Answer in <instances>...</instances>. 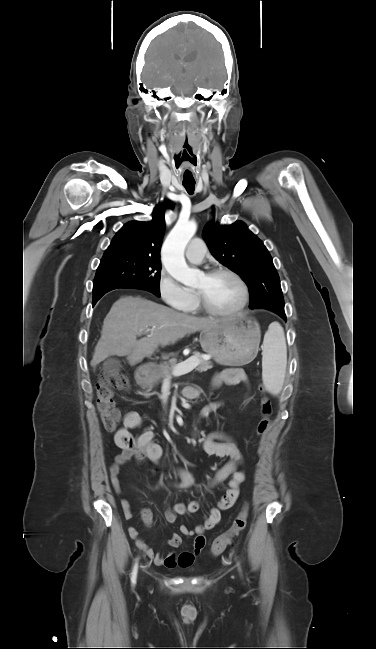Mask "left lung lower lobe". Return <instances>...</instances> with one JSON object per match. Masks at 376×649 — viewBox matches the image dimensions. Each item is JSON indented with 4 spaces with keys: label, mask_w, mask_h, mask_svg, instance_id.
I'll return each mask as SVG.
<instances>
[{
    "label": "left lung lower lobe",
    "mask_w": 376,
    "mask_h": 649,
    "mask_svg": "<svg viewBox=\"0 0 376 649\" xmlns=\"http://www.w3.org/2000/svg\"><path fill=\"white\" fill-rule=\"evenodd\" d=\"M282 318L286 319V316L284 315Z\"/></svg>",
    "instance_id": "obj_1"
}]
</instances>
